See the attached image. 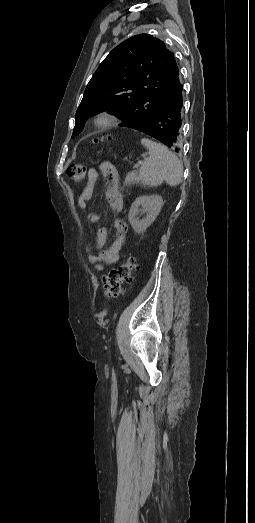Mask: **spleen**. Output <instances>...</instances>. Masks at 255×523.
<instances>
[{
  "mask_svg": "<svg viewBox=\"0 0 255 523\" xmlns=\"http://www.w3.org/2000/svg\"><path fill=\"white\" fill-rule=\"evenodd\" d=\"M141 144L146 146L149 158L142 162L139 170V180L142 186H160L167 182L169 186H178L183 174V166L173 152H169L166 146L152 142L148 138H142Z\"/></svg>",
  "mask_w": 255,
  "mask_h": 523,
  "instance_id": "1",
  "label": "spleen"
}]
</instances>
